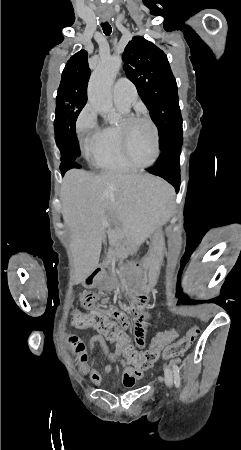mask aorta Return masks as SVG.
I'll return each instance as SVG.
<instances>
[{
  "label": "aorta",
  "instance_id": "aorta-1",
  "mask_svg": "<svg viewBox=\"0 0 241 450\" xmlns=\"http://www.w3.org/2000/svg\"><path fill=\"white\" fill-rule=\"evenodd\" d=\"M122 65L119 56L102 59L92 72L88 85L90 105L106 118L114 115L111 87Z\"/></svg>",
  "mask_w": 241,
  "mask_h": 450
}]
</instances>
